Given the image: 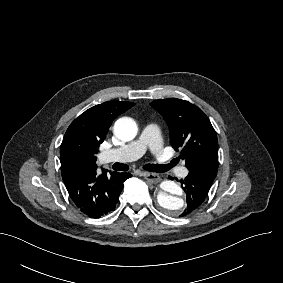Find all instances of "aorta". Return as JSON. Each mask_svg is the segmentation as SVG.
<instances>
[{
	"mask_svg": "<svg viewBox=\"0 0 283 283\" xmlns=\"http://www.w3.org/2000/svg\"><path fill=\"white\" fill-rule=\"evenodd\" d=\"M138 132L136 122L129 117L119 118L114 124V134L122 141H131ZM157 202L161 208L171 215H179L184 208L181 187L173 181L166 180L160 184Z\"/></svg>",
	"mask_w": 283,
	"mask_h": 283,
	"instance_id": "762f6f07",
	"label": "aorta"
}]
</instances>
